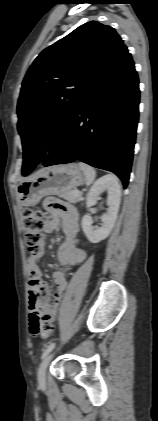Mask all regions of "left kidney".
<instances>
[{
    "instance_id": "left-kidney-1",
    "label": "left kidney",
    "mask_w": 158,
    "mask_h": 421,
    "mask_svg": "<svg viewBox=\"0 0 158 421\" xmlns=\"http://www.w3.org/2000/svg\"><path fill=\"white\" fill-rule=\"evenodd\" d=\"M105 190L108 194L107 205L109 208L101 216V227L94 228L92 226V218L88 214L83 216L81 221L82 229L91 243H98L106 239L114 227L117 218L120 206L121 187L117 178L113 175L103 176L95 182L87 195L86 206L90 208L95 205L99 199V195Z\"/></svg>"
}]
</instances>
